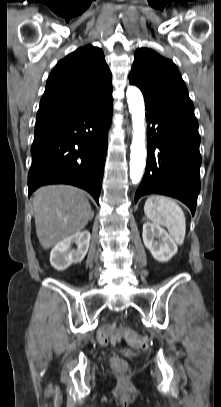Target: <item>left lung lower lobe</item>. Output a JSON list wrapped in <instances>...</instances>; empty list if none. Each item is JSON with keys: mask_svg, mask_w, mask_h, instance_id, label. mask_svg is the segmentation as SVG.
I'll return each mask as SVG.
<instances>
[{"mask_svg": "<svg viewBox=\"0 0 221 407\" xmlns=\"http://www.w3.org/2000/svg\"><path fill=\"white\" fill-rule=\"evenodd\" d=\"M147 166L135 202L147 194L181 200L194 215L200 192V135L189 99L145 101Z\"/></svg>", "mask_w": 221, "mask_h": 407, "instance_id": "obj_1", "label": "left lung lower lobe"}]
</instances>
